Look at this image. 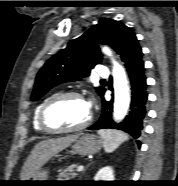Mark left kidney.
I'll return each mask as SVG.
<instances>
[{"instance_id": "5707ae66", "label": "left kidney", "mask_w": 178, "mask_h": 186, "mask_svg": "<svg viewBox=\"0 0 178 186\" xmlns=\"http://www.w3.org/2000/svg\"><path fill=\"white\" fill-rule=\"evenodd\" d=\"M114 171L110 166L101 168L94 177V181H114Z\"/></svg>"}]
</instances>
